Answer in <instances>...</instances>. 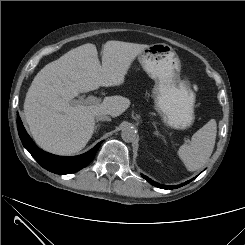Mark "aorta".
<instances>
[{"label": "aorta", "mask_w": 245, "mask_h": 245, "mask_svg": "<svg viewBox=\"0 0 245 245\" xmlns=\"http://www.w3.org/2000/svg\"><path fill=\"white\" fill-rule=\"evenodd\" d=\"M136 130L132 127H124L121 132V137L125 142H133L136 139Z\"/></svg>", "instance_id": "obj_1"}]
</instances>
